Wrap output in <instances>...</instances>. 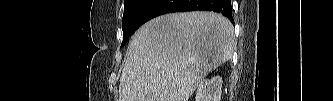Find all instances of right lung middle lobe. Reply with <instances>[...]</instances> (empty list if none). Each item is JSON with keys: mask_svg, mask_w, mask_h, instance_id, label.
I'll return each mask as SVG.
<instances>
[{"mask_svg": "<svg viewBox=\"0 0 333 101\" xmlns=\"http://www.w3.org/2000/svg\"><path fill=\"white\" fill-rule=\"evenodd\" d=\"M148 0H124V15L122 19L123 42L124 46L129 37L136 31L135 20Z\"/></svg>", "mask_w": 333, "mask_h": 101, "instance_id": "obj_1", "label": "right lung middle lobe"}]
</instances>
